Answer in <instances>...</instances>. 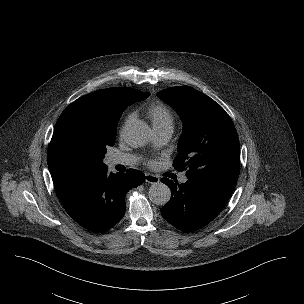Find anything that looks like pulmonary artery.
<instances>
[{
    "label": "pulmonary artery",
    "mask_w": 304,
    "mask_h": 304,
    "mask_svg": "<svg viewBox=\"0 0 304 304\" xmlns=\"http://www.w3.org/2000/svg\"><path fill=\"white\" fill-rule=\"evenodd\" d=\"M173 130L171 128H159L154 129V143L157 146L163 145L169 141L172 136ZM136 162V158L129 154H115L110 157V164L116 165H132ZM185 175L180 177V183L184 184L187 182Z\"/></svg>",
    "instance_id": "pulmonary-artery-1"
}]
</instances>
